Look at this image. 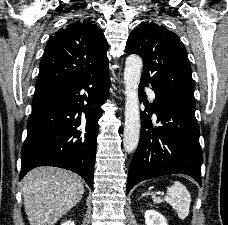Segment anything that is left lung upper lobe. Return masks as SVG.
Wrapping results in <instances>:
<instances>
[{"label":"left lung upper lobe","instance_id":"obj_1","mask_svg":"<svg viewBox=\"0 0 228 225\" xmlns=\"http://www.w3.org/2000/svg\"><path fill=\"white\" fill-rule=\"evenodd\" d=\"M180 38L162 25L142 22L126 43L128 54L144 62L141 82L150 83L159 94L195 102L191 66Z\"/></svg>","mask_w":228,"mask_h":225}]
</instances>
